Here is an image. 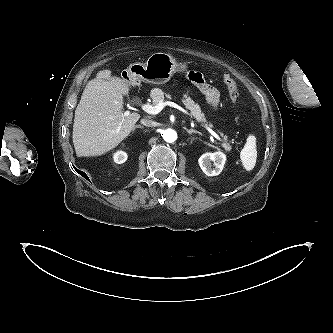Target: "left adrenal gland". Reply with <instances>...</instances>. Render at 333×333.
<instances>
[{"label": "left adrenal gland", "instance_id": "1", "mask_svg": "<svg viewBox=\"0 0 333 333\" xmlns=\"http://www.w3.org/2000/svg\"><path fill=\"white\" fill-rule=\"evenodd\" d=\"M186 132H187L188 134L196 133V134L202 135L201 132H199V131H197V130H194V129H187V128H186Z\"/></svg>", "mask_w": 333, "mask_h": 333}]
</instances>
